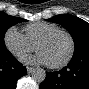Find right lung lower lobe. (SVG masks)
Returning <instances> with one entry per match:
<instances>
[{
  "instance_id": "98d812e1",
  "label": "right lung lower lobe",
  "mask_w": 89,
  "mask_h": 89,
  "mask_svg": "<svg viewBox=\"0 0 89 89\" xmlns=\"http://www.w3.org/2000/svg\"><path fill=\"white\" fill-rule=\"evenodd\" d=\"M26 74V67L8 50L0 52V89H15L17 80Z\"/></svg>"
}]
</instances>
